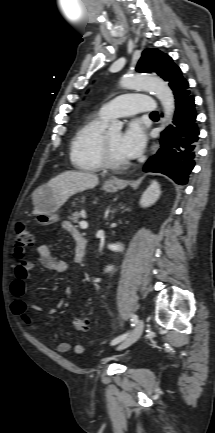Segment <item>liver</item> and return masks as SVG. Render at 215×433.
I'll use <instances>...</instances> for the list:
<instances>
[{"instance_id": "liver-1", "label": "liver", "mask_w": 215, "mask_h": 433, "mask_svg": "<svg viewBox=\"0 0 215 433\" xmlns=\"http://www.w3.org/2000/svg\"><path fill=\"white\" fill-rule=\"evenodd\" d=\"M98 182L97 175L80 171H65L52 178L47 186L53 188L57 201L62 205L70 196L92 189L97 186ZM37 213L38 211L34 210V214Z\"/></svg>"}]
</instances>
